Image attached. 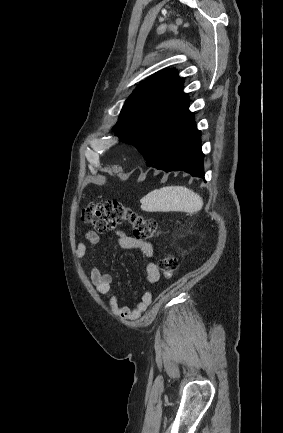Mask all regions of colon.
I'll return each instance as SVG.
<instances>
[{
    "label": "colon",
    "mask_w": 283,
    "mask_h": 433,
    "mask_svg": "<svg viewBox=\"0 0 283 433\" xmlns=\"http://www.w3.org/2000/svg\"><path fill=\"white\" fill-rule=\"evenodd\" d=\"M81 220L98 232H105L127 223L136 239L147 240L162 233L156 220L146 217L117 200L90 202L81 212ZM178 259L167 254L159 261L161 276L172 277L178 268Z\"/></svg>",
    "instance_id": "colon-1"
}]
</instances>
